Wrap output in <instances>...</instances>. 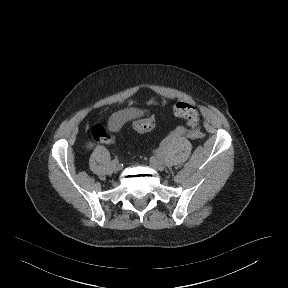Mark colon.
I'll return each instance as SVG.
<instances>
[{
    "mask_svg": "<svg viewBox=\"0 0 288 288\" xmlns=\"http://www.w3.org/2000/svg\"><path fill=\"white\" fill-rule=\"evenodd\" d=\"M173 112L177 117L184 119L186 124L191 128L196 127L199 123V112L197 108L191 104L177 102L173 106ZM154 123L155 117L151 116L147 119L133 122L132 128L137 132H147L153 127ZM90 131L93 138L101 144L109 145L114 142L113 135L102 125L93 126Z\"/></svg>",
    "mask_w": 288,
    "mask_h": 288,
    "instance_id": "5ec220e1",
    "label": "colon"
}]
</instances>
